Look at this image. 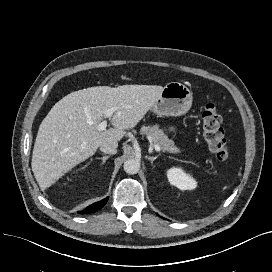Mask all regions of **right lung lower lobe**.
I'll use <instances>...</instances> for the list:
<instances>
[{
	"label": "right lung lower lobe",
	"mask_w": 272,
	"mask_h": 272,
	"mask_svg": "<svg viewBox=\"0 0 272 272\" xmlns=\"http://www.w3.org/2000/svg\"><path fill=\"white\" fill-rule=\"evenodd\" d=\"M108 198H105L99 202H96L92 204L91 206L87 207L83 211H80V214H88V213H93L96 212L97 210L101 209L106 203H107Z\"/></svg>",
	"instance_id": "1"
}]
</instances>
